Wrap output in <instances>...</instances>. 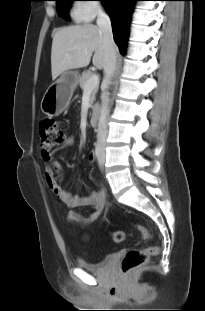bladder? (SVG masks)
I'll use <instances>...</instances> for the list:
<instances>
[{
  "instance_id": "obj_1",
  "label": "bladder",
  "mask_w": 205,
  "mask_h": 311,
  "mask_svg": "<svg viewBox=\"0 0 205 311\" xmlns=\"http://www.w3.org/2000/svg\"><path fill=\"white\" fill-rule=\"evenodd\" d=\"M114 258V255L110 254L105 256L101 261L99 262H88L84 260L83 258H79L77 260V264L80 268L86 270V271H92V272H102L108 265V263Z\"/></svg>"
}]
</instances>
